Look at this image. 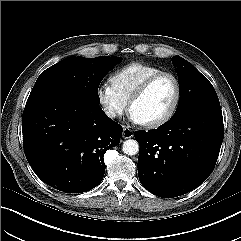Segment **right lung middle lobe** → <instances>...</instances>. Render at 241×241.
Returning a JSON list of instances; mask_svg holds the SVG:
<instances>
[{"mask_svg": "<svg viewBox=\"0 0 241 241\" xmlns=\"http://www.w3.org/2000/svg\"><path fill=\"white\" fill-rule=\"evenodd\" d=\"M121 60L120 57H68L43 71L31 91L66 89L83 99L99 104L98 87L103 77Z\"/></svg>", "mask_w": 241, "mask_h": 241, "instance_id": "1", "label": "right lung middle lobe"}]
</instances>
